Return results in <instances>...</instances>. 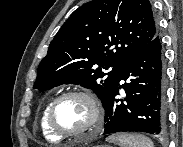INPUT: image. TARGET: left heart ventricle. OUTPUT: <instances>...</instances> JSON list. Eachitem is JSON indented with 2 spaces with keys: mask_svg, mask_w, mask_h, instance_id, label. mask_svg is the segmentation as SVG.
Masks as SVG:
<instances>
[{
  "mask_svg": "<svg viewBox=\"0 0 183 147\" xmlns=\"http://www.w3.org/2000/svg\"><path fill=\"white\" fill-rule=\"evenodd\" d=\"M91 108L81 97H68L56 107L54 121L64 131H77L86 127L91 121Z\"/></svg>",
  "mask_w": 183,
  "mask_h": 147,
  "instance_id": "left-heart-ventricle-1",
  "label": "left heart ventricle"
}]
</instances>
